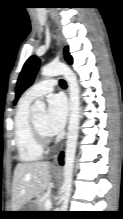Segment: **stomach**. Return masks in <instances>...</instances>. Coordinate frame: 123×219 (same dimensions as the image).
Instances as JSON below:
<instances>
[{"instance_id": "obj_1", "label": "stomach", "mask_w": 123, "mask_h": 219, "mask_svg": "<svg viewBox=\"0 0 123 219\" xmlns=\"http://www.w3.org/2000/svg\"><path fill=\"white\" fill-rule=\"evenodd\" d=\"M53 173L57 176L58 175V173H57V171H53ZM35 209H36V204L34 203V202H28V203H26L23 207H22V209L21 210H19V211H35ZM20 216H27V215H29L27 212H22V213H20L19 214Z\"/></svg>"}]
</instances>
